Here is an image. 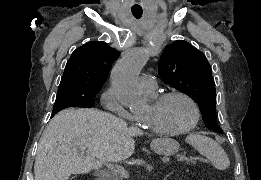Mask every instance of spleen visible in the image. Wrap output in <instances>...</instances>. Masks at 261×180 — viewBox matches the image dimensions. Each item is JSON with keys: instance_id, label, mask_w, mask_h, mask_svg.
Segmentation results:
<instances>
[{"instance_id": "3e777b00", "label": "spleen", "mask_w": 261, "mask_h": 180, "mask_svg": "<svg viewBox=\"0 0 261 180\" xmlns=\"http://www.w3.org/2000/svg\"><path fill=\"white\" fill-rule=\"evenodd\" d=\"M186 142L191 144L201 156L210 160L216 170H227L229 168L230 160L222 146L215 140H211L207 136H199V134H190V136H187Z\"/></svg>"}]
</instances>
